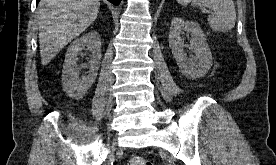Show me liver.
Segmentation results:
<instances>
[{"label":"liver","instance_id":"obj_1","mask_svg":"<svg viewBox=\"0 0 276 165\" xmlns=\"http://www.w3.org/2000/svg\"><path fill=\"white\" fill-rule=\"evenodd\" d=\"M99 0H41L38 5L42 65H47L97 18Z\"/></svg>","mask_w":276,"mask_h":165}]
</instances>
